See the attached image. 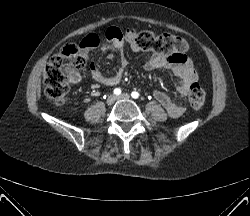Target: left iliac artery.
<instances>
[{
  "mask_svg": "<svg viewBox=\"0 0 250 216\" xmlns=\"http://www.w3.org/2000/svg\"><path fill=\"white\" fill-rule=\"evenodd\" d=\"M131 96L134 98V99H137L139 97V93L134 91L131 93Z\"/></svg>",
  "mask_w": 250,
  "mask_h": 216,
  "instance_id": "obj_1",
  "label": "left iliac artery"
}]
</instances>
